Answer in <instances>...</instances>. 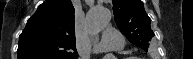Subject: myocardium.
<instances>
[{"mask_svg":"<svg viewBox=\"0 0 193 59\" xmlns=\"http://www.w3.org/2000/svg\"><path fill=\"white\" fill-rule=\"evenodd\" d=\"M122 59H142V58L134 57V56H126V57H123Z\"/></svg>","mask_w":193,"mask_h":59,"instance_id":"f54148a6","label":"myocardium"}]
</instances>
